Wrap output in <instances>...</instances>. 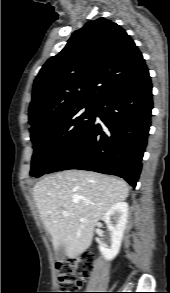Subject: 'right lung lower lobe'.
<instances>
[{
    "mask_svg": "<svg viewBox=\"0 0 170 293\" xmlns=\"http://www.w3.org/2000/svg\"><path fill=\"white\" fill-rule=\"evenodd\" d=\"M152 108V84L146 69L104 95L95 106L91 124L47 173L90 170L122 177L135 187L147 145ZM95 116L102 123H96Z\"/></svg>",
    "mask_w": 170,
    "mask_h": 293,
    "instance_id": "right-lung-lower-lobe-1",
    "label": "right lung lower lobe"
}]
</instances>
